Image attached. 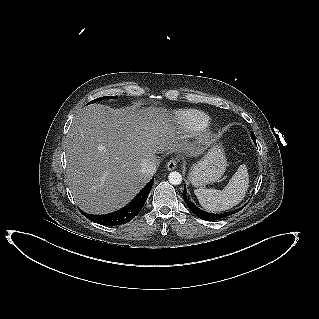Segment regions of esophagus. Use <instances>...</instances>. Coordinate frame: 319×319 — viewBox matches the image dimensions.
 <instances>
[{
	"instance_id": "obj_1",
	"label": "esophagus",
	"mask_w": 319,
	"mask_h": 319,
	"mask_svg": "<svg viewBox=\"0 0 319 319\" xmlns=\"http://www.w3.org/2000/svg\"><path fill=\"white\" fill-rule=\"evenodd\" d=\"M177 160L175 159V158H172V159H170L168 162H167V165H166V167H167V170H169V171H172V170H174L176 167H177Z\"/></svg>"
}]
</instances>
